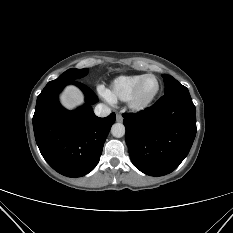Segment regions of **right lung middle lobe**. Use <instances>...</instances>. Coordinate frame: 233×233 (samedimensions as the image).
Listing matches in <instances>:
<instances>
[{"mask_svg": "<svg viewBox=\"0 0 233 233\" xmlns=\"http://www.w3.org/2000/svg\"><path fill=\"white\" fill-rule=\"evenodd\" d=\"M88 69H68L63 74H61L57 79L50 81L49 83H61V82H70L87 75Z\"/></svg>", "mask_w": 233, "mask_h": 233, "instance_id": "1", "label": "right lung middle lobe"}]
</instances>
